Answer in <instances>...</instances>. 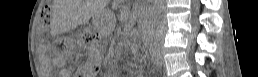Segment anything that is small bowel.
I'll return each instance as SVG.
<instances>
[{
    "instance_id": "obj_1",
    "label": "small bowel",
    "mask_w": 258,
    "mask_h": 77,
    "mask_svg": "<svg viewBox=\"0 0 258 77\" xmlns=\"http://www.w3.org/2000/svg\"><path fill=\"white\" fill-rule=\"evenodd\" d=\"M39 49L44 54V59L47 64L52 65L54 67H58V68L63 67V64H64L63 59L58 58V57H49L46 55V53L49 49V45L46 40H41L39 42Z\"/></svg>"
}]
</instances>
